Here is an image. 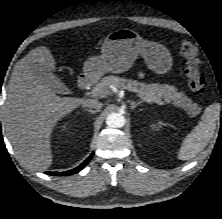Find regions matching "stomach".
I'll list each match as a JSON object with an SVG mask.
<instances>
[{
    "label": "stomach",
    "mask_w": 222,
    "mask_h": 219,
    "mask_svg": "<svg viewBox=\"0 0 222 219\" xmlns=\"http://www.w3.org/2000/svg\"><path fill=\"white\" fill-rule=\"evenodd\" d=\"M101 53L84 63V75L91 80H97L108 72L128 71L139 55L147 67L158 74L167 73L173 65L171 53L164 45L145 40L127 28L111 32L103 42Z\"/></svg>",
    "instance_id": "stomach-1"
}]
</instances>
